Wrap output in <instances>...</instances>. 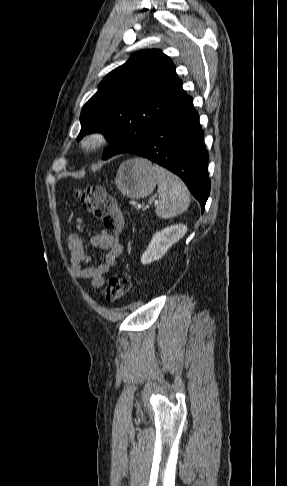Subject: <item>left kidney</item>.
<instances>
[{"mask_svg":"<svg viewBox=\"0 0 287 486\" xmlns=\"http://www.w3.org/2000/svg\"><path fill=\"white\" fill-rule=\"evenodd\" d=\"M187 230V225L176 224L156 232L141 257V263L145 265L161 259L168 249L186 234Z\"/></svg>","mask_w":287,"mask_h":486,"instance_id":"obj_1","label":"left kidney"}]
</instances>
